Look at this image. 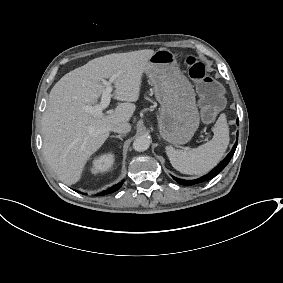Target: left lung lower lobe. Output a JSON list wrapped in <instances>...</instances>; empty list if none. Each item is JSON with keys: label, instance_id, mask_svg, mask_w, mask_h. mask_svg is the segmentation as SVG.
Returning <instances> with one entry per match:
<instances>
[{"label": "left lung lower lobe", "instance_id": "obj_1", "mask_svg": "<svg viewBox=\"0 0 283 283\" xmlns=\"http://www.w3.org/2000/svg\"><path fill=\"white\" fill-rule=\"evenodd\" d=\"M237 123H238V120H237ZM237 141H238V138H237ZM237 141L235 143V145L233 146L231 152L226 156V158L224 160H222L219 165H217L212 171H210L208 174L198 178V179H195V180H184V179H179V178H176L173 176V179L178 182L179 184L181 185H185V186H190V185H194V184H198V183H202V182H205V181H208L210 179H212L213 177H215L218 173H220L224 168L225 166L229 163L230 159L232 158L235 150H236V147H237Z\"/></svg>", "mask_w": 283, "mask_h": 283}]
</instances>
